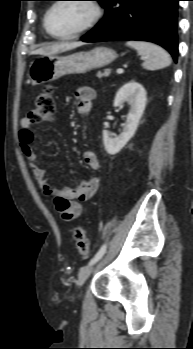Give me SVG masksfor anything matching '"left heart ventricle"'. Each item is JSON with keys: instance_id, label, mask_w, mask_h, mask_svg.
Wrapping results in <instances>:
<instances>
[{"instance_id": "left-heart-ventricle-1", "label": "left heart ventricle", "mask_w": 193, "mask_h": 349, "mask_svg": "<svg viewBox=\"0 0 193 349\" xmlns=\"http://www.w3.org/2000/svg\"><path fill=\"white\" fill-rule=\"evenodd\" d=\"M93 14L87 2H64L50 13L49 26L57 35H68L85 26Z\"/></svg>"}]
</instances>
